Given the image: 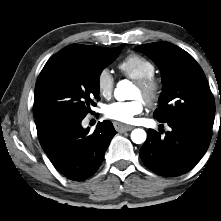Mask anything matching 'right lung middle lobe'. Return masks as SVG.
<instances>
[{
	"label": "right lung middle lobe",
	"instance_id": "right-lung-middle-lobe-1",
	"mask_svg": "<svg viewBox=\"0 0 221 221\" xmlns=\"http://www.w3.org/2000/svg\"><path fill=\"white\" fill-rule=\"evenodd\" d=\"M59 51L48 60L35 86L34 115L39 141L60 126L84 119L99 100V76L120 54Z\"/></svg>",
	"mask_w": 221,
	"mask_h": 221
}]
</instances>
